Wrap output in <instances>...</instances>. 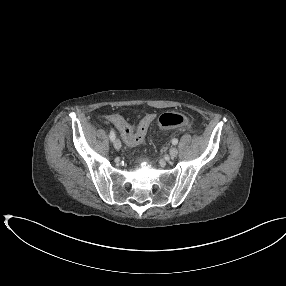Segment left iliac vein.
I'll return each mask as SVG.
<instances>
[{
    "label": "left iliac vein",
    "instance_id": "4c4485c4",
    "mask_svg": "<svg viewBox=\"0 0 286 286\" xmlns=\"http://www.w3.org/2000/svg\"><path fill=\"white\" fill-rule=\"evenodd\" d=\"M178 154V149L176 147H172L169 151V155L171 158H175Z\"/></svg>",
    "mask_w": 286,
    "mask_h": 286
}]
</instances>
